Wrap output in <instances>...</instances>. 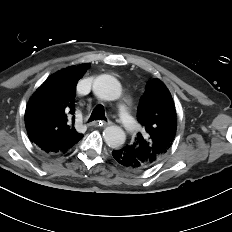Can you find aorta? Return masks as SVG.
I'll list each match as a JSON object with an SVG mask.
<instances>
[{"label": "aorta", "instance_id": "obj_1", "mask_svg": "<svg viewBox=\"0 0 232 232\" xmlns=\"http://www.w3.org/2000/svg\"><path fill=\"white\" fill-rule=\"evenodd\" d=\"M94 94L106 101L118 100L122 95V88L119 81L110 75H101L93 83ZM103 137L106 144L111 148L122 146L126 140L124 130L116 125L105 128Z\"/></svg>", "mask_w": 232, "mask_h": 232}]
</instances>
